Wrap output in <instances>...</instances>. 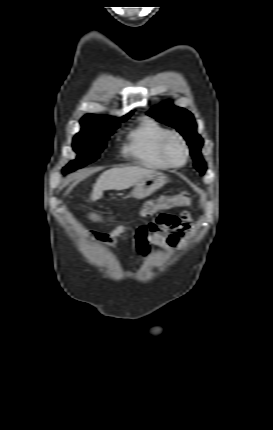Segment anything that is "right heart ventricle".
I'll return each instance as SVG.
<instances>
[{
  "label": "right heart ventricle",
  "instance_id": "e07e8e85",
  "mask_svg": "<svg viewBox=\"0 0 273 430\" xmlns=\"http://www.w3.org/2000/svg\"><path fill=\"white\" fill-rule=\"evenodd\" d=\"M170 132L154 119L145 117L128 133L124 152L143 167L167 169L170 166L160 155V144Z\"/></svg>",
  "mask_w": 273,
  "mask_h": 430
}]
</instances>
